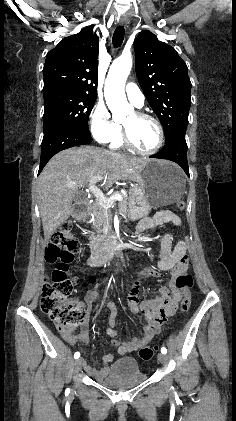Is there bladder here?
Instances as JSON below:
<instances>
[{
    "label": "bladder",
    "instance_id": "obj_1",
    "mask_svg": "<svg viewBox=\"0 0 236 421\" xmlns=\"http://www.w3.org/2000/svg\"><path fill=\"white\" fill-rule=\"evenodd\" d=\"M145 380L146 375L140 370L136 359L124 357L109 367L105 376L101 378V383L125 390L142 384Z\"/></svg>",
    "mask_w": 236,
    "mask_h": 421
}]
</instances>
